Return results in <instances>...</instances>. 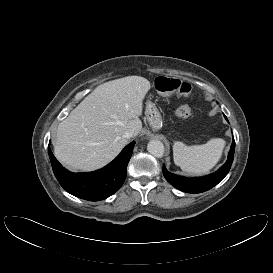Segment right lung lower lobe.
Masks as SVG:
<instances>
[{
  "label": "right lung lower lobe",
  "instance_id": "1",
  "mask_svg": "<svg viewBox=\"0 0 273 273\" xmlns=\"http://www.w3.org/2000/svg\"><path fill=\"white\" fill-rule=\"evenodd\" d=\"M134 145L131 142L107 166L89 173L69 172L57 161L50 147L48 153L53 172L64 190L85 200L99 201L114 194L124 183Z\"/></svg>",
  "mask_w": 273,
  "mask_h": 273
}]
</instances>
